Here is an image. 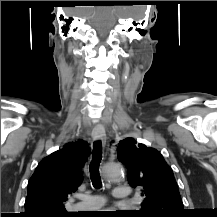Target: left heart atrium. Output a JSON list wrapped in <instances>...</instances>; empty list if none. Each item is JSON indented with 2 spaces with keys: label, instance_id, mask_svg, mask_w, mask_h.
Instances as JSON below:
<instances>
[{
  "label": "left heart atrium",
  "instance_id": "obj_1",
  "mask_svg": "<svg viewBox=\"0 0 217 217\" xmlns=\"http://www.w3.org/2000/svg\"><path fill=\"white\" fill-rule=\"evenodd\" d=\"M116 212H114L113 210H111V211H107V212H104V213H102V215L104 216V217H112L113 215H116L115 214Z\"/></svg>",
  "mask_w": 217,
  "mask_h": 217
}]
</instances>
